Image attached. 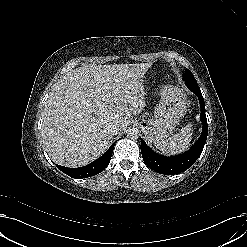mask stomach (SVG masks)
Returning <instances> with one entry per match:
<instances>
[{"label":"stomach","instance_id":"0dacf381","mask_svg":"<svg viewBox=\"0 0 247 247\" xmlns=\"http://www.w3.org/2000/svg\"><path fill=\"white\" fill-rule=\"evenodd\" d=\"M187 111L186 96L178 88L164 86L154 116L142 122L143 132L150 142L167 139Z\"/></svg>","mask_w":247,"mask_h":247}]
</instances>
